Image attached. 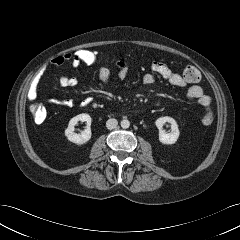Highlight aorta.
Here are the masks:
<instances>
[{"mask_svg":"<svg viewBox=\"0 0 240 240\" xmlns=\"http://www.w3.org/2000/svg\"><path fill=\"white\" fill-rule=\"evenodd\" d=\"M120 124L123 129H127L130 126V122L127 119H123Z\"/></svg>","mask_w":240,"mask_h":240,"instance_id":"obj_1","label":"aorta"}]
</instances>
